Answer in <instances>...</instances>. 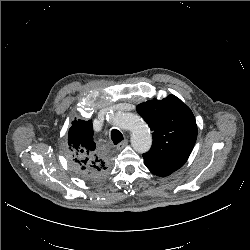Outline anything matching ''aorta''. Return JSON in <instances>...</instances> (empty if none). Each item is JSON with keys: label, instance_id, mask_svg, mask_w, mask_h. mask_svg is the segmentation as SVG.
I'll return each mask as SVG.
<instances>
[{"label": "aorta", "instance_id": "obj_1", "mask_svg": "<svg viewBox=\"0 0 250 250\" xmlns=\"http://www.w3.org/2000/svg\"><path fill=\"white\" fill-rule=\"evenodd\" d=\"M110 122L121 129L131 131V145L139 153L147 152L152 145V136L148 126L138 116L131 113L111 115Z\"/></svg>", "mask_w": 250, "mask_h": 250}]
</instances>
